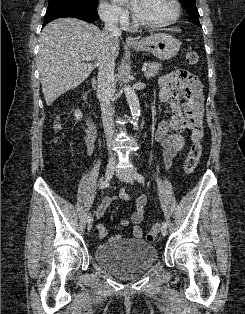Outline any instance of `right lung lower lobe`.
Listing matches in <instances>:
<instances>
[{
    "mask_svg": "<svg viewBox=\"0 0 245 314\" xmlns=\"http://www.w3.org/2000/svg\"><path fill=\"white\" fill-rule=\"evenodd\" d=\"M64 17H74L87 22H93L99 19L97 11H89L74 7L52 8L47 9L42 27L54 19Z\"/></svg>",
    "mask_w": 245,
    "mask_h": 314,
    "instance_id": "obj_1",
    "label": "right lung lower lobe"
}]
</instances>
